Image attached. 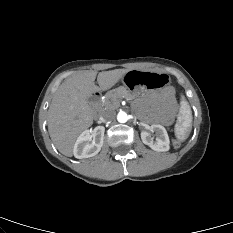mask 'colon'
Wrapping results in <instances>:
<instances>
[{
	"label": "colon",
	"instance_id": "obj_1",
	"mask_svg": "<svg viewBox=\"0 0 233 233\" xmlns=\"http://www.w3.org/2000/svg\"><path fill=\"white\" fill-rule=\"evenodd\" d=\"M172 143H173L174 146H178L179 143H180V140L178 138H173Z\"/></svg>",
	"mask_w": 233,
	"mask_h": 233
}]
</instances>
